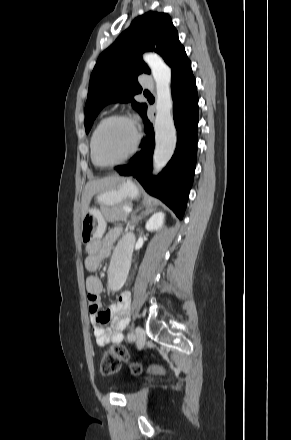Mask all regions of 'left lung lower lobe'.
Here are the masks:
<instances>
[{"label":"left lung lower lobe","mask_w":291,"mask_h":440,"mask_svg":"<svg viewBox=\"0 0 291 440\" xmlns=\"http://www.w3.org/2000/svg\"><path fill=\"white\" fill-rule=\"evenodd\" d=\"M171 70L173 117L177 130L173 157L157 177L151 175L155 142L153 126L146 111L143 119L147 136L141 142L142 150L134 155L131 163L116 166L115 170L122 176L135 177L150 195L161 199L182 219L196 166L198 94L186 53L174 63Z\"/></svg>","instance_id":"1"}]
</instances>
